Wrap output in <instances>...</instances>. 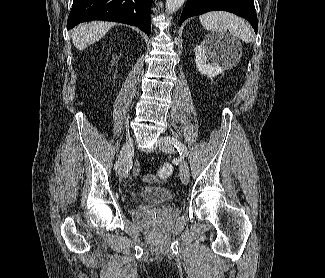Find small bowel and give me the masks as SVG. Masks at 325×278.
<instances>
[{
	"label": "small bowel",
	"instance_id": "c3829d8e",
	"mask_svg": "<svg viewBox=\"0 0 325 278\" xmlns=\"http://www.w3.org/2000/svg\"><path fill=\"white\" fill-rule=\"evenodd\" d=\"M138 172H139V166H138V164H135V166H134V174H138Z\"/></svg>",
	"mask_w": 325,
	"mask_h": 278
}]
</instances>
